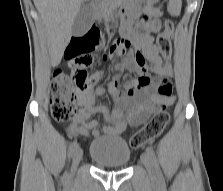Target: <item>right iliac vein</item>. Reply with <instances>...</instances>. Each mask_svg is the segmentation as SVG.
<instances>
[{"instance_id":"obj_1","label":"right iliac vein","mask_w":223,"mask_h":191,"mask_svg":"<svg viewBox=\"0 0 223 191\" xmlns=\"http://www.w3.org/2000/svg\"><path fill=\"white\" fill-rule=\"evenodd\" d=\"M83 156V151L80 147L76 148L72 156V173L74 174L79 162L81 161Z\"/></svg>"}]
</instances>
